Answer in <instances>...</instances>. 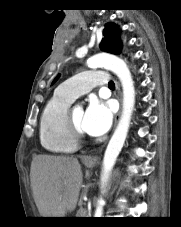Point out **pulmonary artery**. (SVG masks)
<instances>
[{
	"instance_id": "e3ab8cb5",
	"label": "pulmonary artery",
	"mask_w": 181,
	"mask_h": 227,
	"mask_svg": "<svg viewBox=\"0 0 181 227\" xmlns=\"http://www.w3.org/2000/svg\"><path fill=\"white\" fill-rule=\"evenodd\" d=\"M108 80L109 77L106 71H87L61 83L56 92L74 101L96 86L107 85Z\"/></svg>"
}]
</instances>
